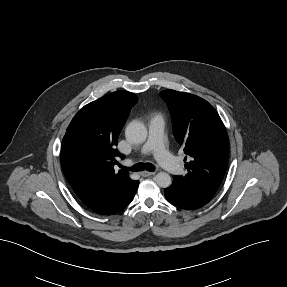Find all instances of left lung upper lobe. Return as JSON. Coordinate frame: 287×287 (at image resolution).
Here are the masks:
<instances>
[{
	"mask_svg": "<svg viewBox=\"0 0 287 287\" xmlns=\"http://www.w3.org/2000/svg\"><path fill=\"white\" fill-rule=\"evenodd\" d=\"M160 94L171 112L174 136L188 156L187 174L174 177L216 193L228 164V137L219 114L196 95L175 90Z\"/></svg>",
	"mask_w": 287,
	"mask_h": 287,
	"instance_id": "1",
	"label": "left lung upper lobe"
}]
</instances>
